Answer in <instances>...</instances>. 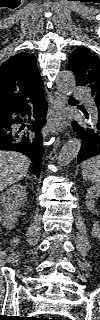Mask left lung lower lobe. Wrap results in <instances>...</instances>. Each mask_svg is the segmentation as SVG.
<instances>
[{
  "label": "left lung lower lobe",
  "instance_id": "obj_1",
  "mask_svg": "<svg viewBox=\"0 0 100 320\" xmlns=\"http://www.w3.org/2000/svg\"><path fill=\"white\" fill-rule=\"evenodd\" d=\"M70 104L75 105L76 103L73 101ZM85 116L89 120L87 113H85ZM72 125L82 141V146L78 153V163L100 155V109L93 116V120L86 126H80L76 122H73Z\"/></svg>",
  "mask_w": 100,
  "mask_h": 320
}]
</instances>
